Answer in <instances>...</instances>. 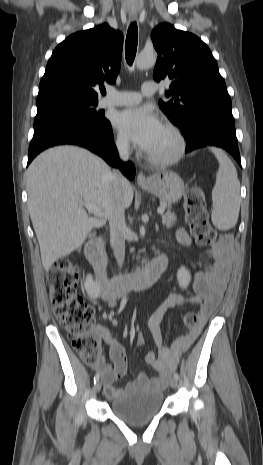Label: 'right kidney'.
<instances>
[{
  "label": "right kidney",
  "mask_w": 263,
  "mask_h": 465,
  "mask_svg": "<svg viewBox=\"0 0 263 465\" xmlns=\"http://www.w3.org/2000/svg\"><path fill=\"white\" fill-rule=\"evenodd\" d=\"M84 288L91 299H97L100 295V287L98 282L93 280L92 275H87Z\"/></svg>",
  "instance_id": "right-kidney-1"
}]
</instances>
